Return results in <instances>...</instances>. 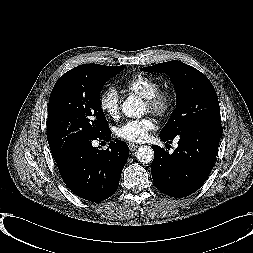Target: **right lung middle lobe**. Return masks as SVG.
Instances as JSON below:
<instances>
[{"instance_id": "dd1d6c3e", "label": "right lung middle lobe", "mask_w": 253, "mask_h": 253, "mask_svg": "<svg viewBox=\"0 0 253 253\" xmlns=\"http://www.w3.org/2000/svg\"><path fill=\"white\" fill-rule=\"evenodd\" d=\"M124 67L84 64L58 79L50 95L47 121V139L54 158L109 130L100 92Z\"/></svg>"}]
</instances>
